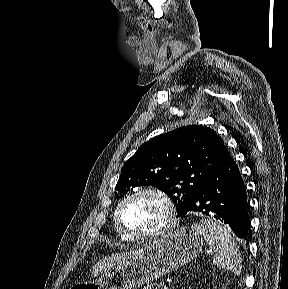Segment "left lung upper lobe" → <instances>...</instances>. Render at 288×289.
Instances as JSON below:
<instances>
[{
    "instance_id": "1",
    "label": "left lung upper lobe",
    "mask_w": 288,
    "mask_h": 289,
    "mask_svg": "<svg viewBox=\"0 0 288 289\" xmlns=\"http://www.w3.org/2000/svg\"><path fill=\"white\" fill-rule=\"evenodd\" d=\"M228 155L213 129L185 126L142 144L122 167L116 190L153 185L172 199L181 216Z\"/></svg>"
}]
</instances>
